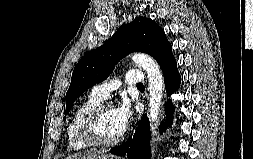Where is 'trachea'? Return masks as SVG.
Listing matches in <instances>:
<instances>
[{
    "mask_svg": "<svg viewBox=\"0 0 253 159\" xmlns=\"http://www.w3.org/2000/svg\"><path fill=\"white\" fill-rule=\"evenodd\" d=\"M138 88H144V85L143 84H140L137 86Z\"/></svg>",
    "mask_w": 253,
    "mask_h": 159,
    "instance_id": "1",
    "label": "trachea"
}]
</instances>
